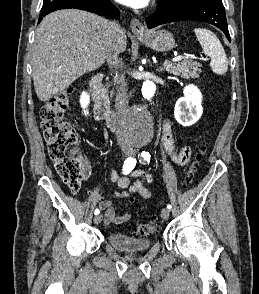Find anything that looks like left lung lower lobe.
Here are the masks:
<instances>
[{
  "label": "left lung lower lobe",
  "mask_w": 259,
  "mask_h": 294,
  "mask_svg": "<svg viewBox=\"0 0 259 294\" xmlns=\"http://www.w3.org/2000/svg\"><path fill=\"white\" fill-rule=\"evenodd\" d=\"M201 21L212 24L224 32L230 41L225 8L222 0H191L166 10H159L146 18L149 29L176 21Z\"/></svg>",
  "instance_id": "1"
}]
</instances>
